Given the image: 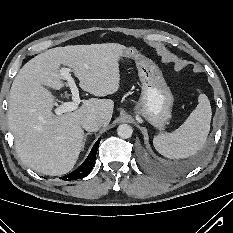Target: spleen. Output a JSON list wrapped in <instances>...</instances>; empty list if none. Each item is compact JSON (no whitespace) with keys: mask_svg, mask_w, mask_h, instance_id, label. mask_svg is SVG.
Returning a JSON list of instances; mask_svg holds the SVG:
<instances>
[{"mask_svg":"<svg viewBox=\"0 0 233 233\" xmlns=\"http://www.w3.org/2000/svg\"><path fill=\"white\" fill-rule=\"evenodd\" d=\"M212 110L208 97L201 93L198 105L187 120L171 133H160L153 139L155 149L170 159L194 155L205 143L210 131Z\"/></svg>","mask_w":233,"mask_h":233,"instance_id":"obj_1","label":"spleen"}]
</instances>
